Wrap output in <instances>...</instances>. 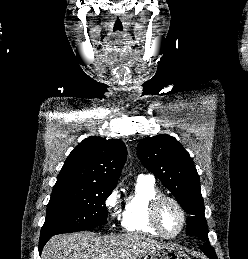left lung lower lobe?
I'll list each match as a JSON object with an SVG mask.
<instances>
[{"label":"left lung lower lobe","mask_w":248,"mask_h":259,"mask_svg":"<svg viewBox=\"0 0 248 259\" xmlns=\"http://www.w3.org/2000/svg\"><path fill=\"white\" fill-rule=\"evenodd\" d=\"M200 249L208 256L210 259H217L214 249L210 245H203Z\"/></svg>","instance_id":"1"}]
</instances>
